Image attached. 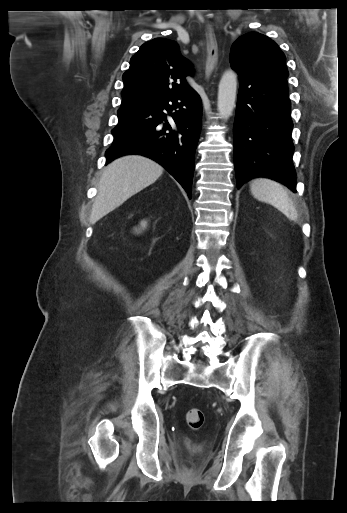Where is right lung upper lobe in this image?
I'll list each match as a JSON object with an SVG mask.
<instances>
[{
    "label": "right lung upper lobe",
    "instance_id": "1",
    "mask_svg": "<svg viewBox=\"0 0 347 513\" xmlns=\"http://www.w3.org/2000/svg\"><path fill=\"white\" fill-rule=\"evenodd\" d=\"M191 71V63L175 41L155 38L144 43L123 74L120 109L131 110L192 90L185 80Z\"/></svg>",
    "mask_w": 347,
    "mask_h": 513
}]
</instances>
